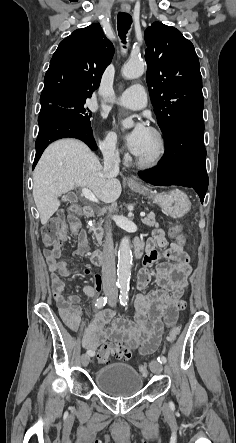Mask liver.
<instances>
[{"instance_id":"6515ba94","label":"liver","mask_w":236,"mask_h":443,"mask_svg":"<svg viewBox=\"0 0 236 443\" xmlns=\"http://www.w3.org/2000/svg\"><path fill=\"white\" fill-rule=\"evenodd\" d=\"M76 187L91 190L105 203L115 202L122 191L119 180L106 175L83 142L62 139L50 144L33 173V197L43 225L58 210V197Z\"/></svg>"}]
</instances>
